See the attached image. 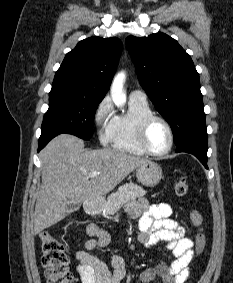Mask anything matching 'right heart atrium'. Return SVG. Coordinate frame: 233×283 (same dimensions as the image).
<instances>
[{
	"mask_svg": "<svg viewBox=\"0 0 233 283\" xmlns=\"http://www.w3.org/2000/svg\"><path fill=\"white\" fill-rule=\"evenodd\" d=\"M115 110L109 97H104L96 106L93 122L99 142L106 146L111 143Z\"/></svg>",
	"mask_w": 233,
	"mask_h": 283,
	"instance_id": "1",
	"label": "right heart atrium"
}]
</instances>
